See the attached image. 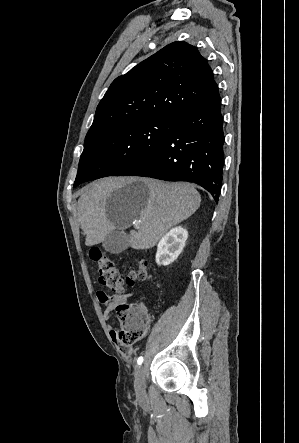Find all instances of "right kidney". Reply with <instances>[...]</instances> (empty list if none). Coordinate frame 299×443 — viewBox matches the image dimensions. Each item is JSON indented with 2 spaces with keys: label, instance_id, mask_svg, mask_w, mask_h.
Wrapping results in <instances>:
<instances>
[{
  "label": "right kidney",
  "instance_id": "obj_1",
  "mask_svg": "<svg viewBox=\"0 0 299 443\" xmlns=\"http://www.w3.org/2000/svg\"><path fill=\"white\" fill-rule=\"evenodd\" d=\"M188 232L181 226L171 229L158 243L156 263L158 265H169L173 263L183 251Z\"/></svg>",
  "mask_w": 299,
  "mask_h": 443
}]
</instances>
